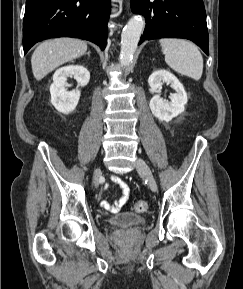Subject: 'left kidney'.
Listing matches in <instances>:
<instances>
[{
    "mask_svg": "<svg viewBox=\"0 0 243 289\" xmlns=\"http://www.w3.org/2000/svg\"><path fill=\"white\" fill-rule=\"evenodd\" d=\"M164 82L170 84L176 91V93L170 95V102L160 97V89ZM148 83L150 88L156 93L149 103L151 112L156 118L169 122L185 110L187 93L183 85L172 73L166 70L155 71L150 75Z\"/></svg>",
    "mask_w": 243,
    "mask_h": 289,
    "instance_id": "5707ae66",
    "label": "left kidney"
}]
</instances>
